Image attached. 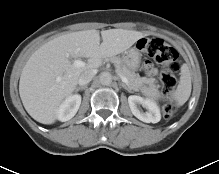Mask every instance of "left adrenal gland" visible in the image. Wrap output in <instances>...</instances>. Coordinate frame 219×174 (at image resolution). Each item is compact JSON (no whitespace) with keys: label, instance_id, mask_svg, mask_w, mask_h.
<instances>
[{"label":"left adrenal gland","instance_id":"obj_1","mask_svg":"<svg viewBox=\"0 0 219 174\" xmlns=\"http://www.w3.org/2000/svg\"><path fill=\"white\" fill-rule=\"evenodd\" d=\"M122 87L126 89L128 92H132L129 87L126 86V84L122 83Z\"/></svg>","mask_w":219,"mask_h":174}]
</instances>
